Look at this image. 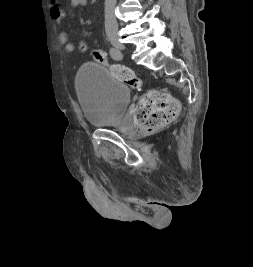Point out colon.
<instances>
[{
	"instance_id": "colon-1",
	"label": "colon",
	"mask_w": 253,
	"mask_h": 267,
	"mask_svg": "<svg viewBox=\"0 0 253 267\" xmlns=\"http://www.w3.org/2000/svg\"><path fill=\"white\" fill-rule=\"evenodd\" d=\"M88 49L89 46L85 41L79 40L77 42V50L79 52L86 53ZM92 57L97 64L107 67L118 80L133 88L141 86V79L132 69L123 65L109 63L101 49H94ZM178 111L179 104L176 100L166 93L153 90L148 92L140 101L134 120L143 132H151L173 120Z\"/></svg>"
}]
</instances>
